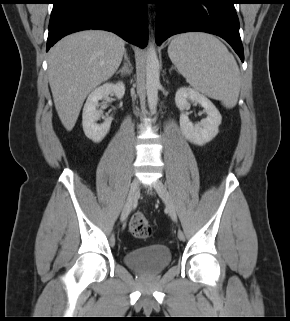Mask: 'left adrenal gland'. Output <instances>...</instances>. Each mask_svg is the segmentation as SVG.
<instances>
[{
  "instance_id": "obj_1",
  "label": "left adrenal gland",
  "mask_w": 290,
  "mask_h": 321,
  "mask_svg": "<svg viewBox=\"0 0 290 321\" xmlns=\"http://www.w3.org/2000/svg\"><path fill=\"white\" fill-rule=\"evenodd\" d=\"M173 69H175V67L172 66L171 69H170V71L173 70Z\"/></svg>"
}]
</instances>
